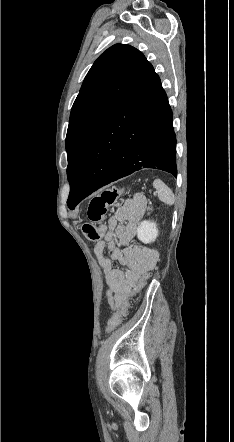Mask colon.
<instances>
[{
    "mask_svg": "<svg viewBox=\"0 0 234 442\" xmlns=\"http://www.w3.org/2000/svg\"><path fill=\"white\" fill-rule=\"evenodd\" d=\"M122 189L112 188L102 191L99 195L92 198L89 203L87 215L90 223H85L82 226L84 235L91 241H99L106 232L103 224L108 208L114 205L119 199ZM148 274H146L140 281L135 291L139 290L146 282ZM129 303L126 302L121 311L113 315L109 320L106 331L108 333L114 331L122 322L124 315L127 312Z\"/></svg>",
    "mask_w": 234,
    "mask_h": 442,
    "instance_id": "colon-1",
    "label": "colon"
}]
</instances>
